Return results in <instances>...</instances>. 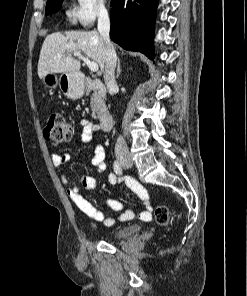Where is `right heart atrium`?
Masks as SVG:
<instances>
[{"mask_svg": "<svg viewBox=\"0 0 247 296\" xmlns=\"http://www.w3.org/2000/svg\"><path fill=\"white\" fill-rule=\"evenodd\" d=\"M107 14L105 0H72L67 17L71 23L89 28Z\"/></svg>", "mask_w": 247, "mask_h": 296, "instance_id": "right-heart-atrium-1", "label": "right heart atrium"}]
</instances>
